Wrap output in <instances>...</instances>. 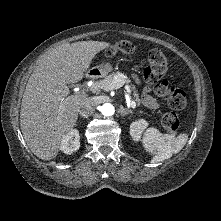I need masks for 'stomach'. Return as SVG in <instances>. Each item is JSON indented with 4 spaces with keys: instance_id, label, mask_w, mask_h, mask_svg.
Instances as JSON below:
<instances>
[{
    "instance_id": "obj_1",
    "label": "stomach",
    "mask_w": 221,
    "mask_h": 221,
    "mask_svg": "<svg viewBox=\"0 0 221 221\" xmlns=\"http://www.w3.org/2000/svg\"><path fill=\"white\" fill-rule=\"evenodd\" d=\"M113 69L112 65L110 63H102L99 66L95 67L93 69L95 74H98L100 76H106L109 72H111Z\"/></svg>"
}]
</instances>
